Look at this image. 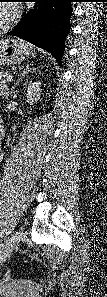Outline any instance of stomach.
Wrapping results in <instances>:
<instances>
[{
  "label": "stomach",
  "instance_id": "obj_1",
  "mask_svg": "<svg viewBox=\"0 0 107 297\" xmlns=\"http://www.w3.org/2000/svg\"><path fill=\"white\" fill-rule=\"evenodd\" d=\"M32 54L31 47L20 40L2 41L0 45V64L13 65L22 62Z\"/></svg>",
  "mask_w": 107,
  "mask_h": 297
}]
</instances>
